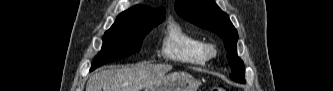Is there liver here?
Returning <instances> with one entry per match:
<instances>
[{"label":"liver","mask_w":333,"mask_h":91,"mask_svg":"<svg viewBox=\"0 0 333 91\" xmlns=\"http://www.w3.org/2000/svg\"><path fill=\"white\" fill-rule=\"evenodd\" d=\"M171 65L141 63L135 66L97 71L86 85V91H141L162 78Z\"/></svg>","instance_id":"liver-1"}]
</instances>
